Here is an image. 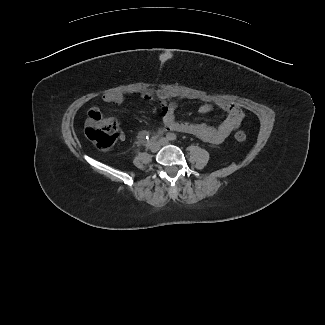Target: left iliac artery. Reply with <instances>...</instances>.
I'll return each instance as SVG.
<instances>
[{"label":"left iliac artery","mask_w":325,"mask_h":325,"mask_svg":"<svg viewBox=\"0 0 325 325\" xmlns=\"http://www.w3.org/2000/svg\"><path fill=\"white\" fill-rule=\"evenodd\" d=\"M166 137H167V139L168 140H171V141H174V140H176V135L174 134V133H168L167 135H166Z\"/></svg>","instance_id":"44dca946"}]
</instances>
